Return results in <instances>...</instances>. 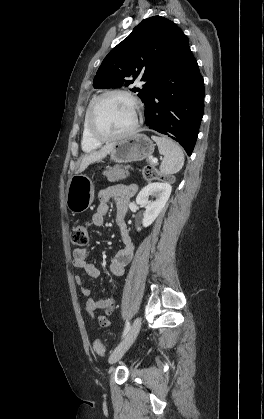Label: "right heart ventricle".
Segmentation results:
<instances>
[{"mask_svg": "<svg viewBox=\"0 0 264 419\" xmlns=\"http://www.w3.org/2000/svg\"><path fill=\"white\" fill-rule=\"evenodd\" d=\"M95 97H92L88 103L85 115H84V120H83V128H82V137H81V147L82 150L85 152H91L93 150H96L99 146H100V142L94 140L89 132H88V128H87V117H88V112L90 109V106L92 104V102L94 101Z\"/></svg>", "mask_w": 264, "mask_h": 419, "instance_id": "right-heart-ventricle-1", "label": "right heart ventricle"}]
</instances>
